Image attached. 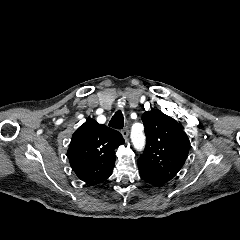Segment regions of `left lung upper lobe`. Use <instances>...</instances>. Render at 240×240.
Here are the masks:
<instances>
[{"label": "left lung upper lobe", "instance_id": "obj_1", "mask_svg": "<svg viewBox=\"0 0 240 240\" xmlns=\"http://www.w3.org/2000/svg\"><path fill=\"white\" fill-rule=\"evenodd\" d=\"M146 148L137 160L155 174L172 180L188 157L190 142L181 125L158 109L142 115Z\"/></svg>", "mask_w": 240, "mask_h": 240}]
</instances>
